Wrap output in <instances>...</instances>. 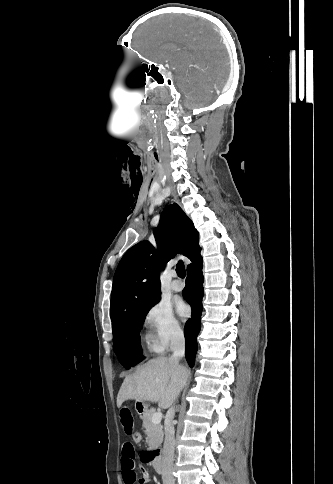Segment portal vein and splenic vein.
<instances>
[{"label": "portal vein and splenic vein", "instance_id": "obj_1", "mask_svg": "<svg viewBox=\"0 0 333 484\" xmlns=\"http://www.w3.org/2000/svg\"><path fill=\"white\" fill-rule=\"evenodd\" d=\"M162 416L163 415L160 411L154 413L153 416H152V423H154V424L160 423L161 420H162Z\"/></svg>", "mask_w": 333, "mask_h": 484}]
</instances>
